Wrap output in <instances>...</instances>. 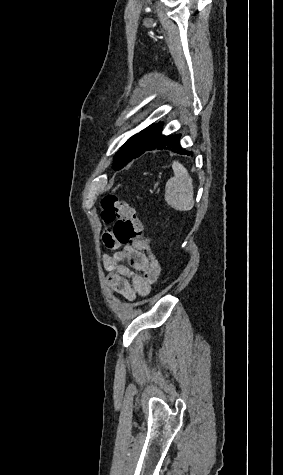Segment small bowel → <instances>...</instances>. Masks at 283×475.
Instances as JSON below:
<instances>
[{
	"instance_id": "c3829d8e",
	"label": "small bowel",
	"mask_w": 283,
	"mask_h": 475,
	"mask_svg": "<svg viewBox=\"0 0 283 475\" xmlns=\"http://www.w3.org/2000/svg\"><path fill=\"white\" fill-rule=\"evenodd\" d=\"M113 222L102 224L101 243L106 248L115 249L113 254H104L102 261L108 271L106 280L110 290L127 301H133L137 296L149 294L151 286L161 273V264L155 254L138 251L137 244L122 245L120 239H115ZM152 251V250H151ZM128 262L131 270L125 265Z\"/></svg>"
}]
</instances>
